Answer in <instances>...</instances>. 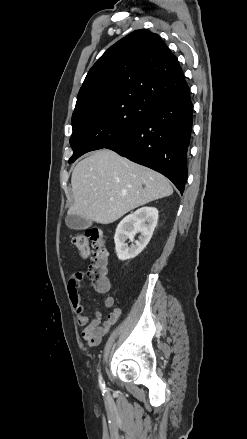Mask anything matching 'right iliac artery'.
<instances>
[{
    "label": "right iliac artery",
    "instance_id": "1",
    "mask_svg": "<svg viewBox=\"0 0 247 439\" xmlns=\"http://www.w3.org/2000/svg\"><path fill=\"white\" fill-rule=\"evenodd\" d=\"M99 385L103 392L107 391L101 374H99Z\"/></svg>",
    "mask_w": 247,
    "mask_h": 439
}]
</instances>
